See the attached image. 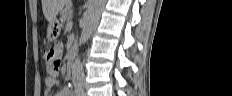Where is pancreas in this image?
<instances>
[{
	"label": "pancreas",
	"mask_w": 232,
	"mask_h": 96,
	"mask_svg": "<svg viewBox=\"0 0 232 96\" xmlns=\"http://www.w3.org/2000/svg\"><path fill=\"white\" fill-rule=\"evenodd\" d=\"M72 17H73V10L70 7H65L60 17L61 26H63V23H65L66 21L72 19Z\"/></svg>",
	"instance_id": "1"
}]
</instances>
